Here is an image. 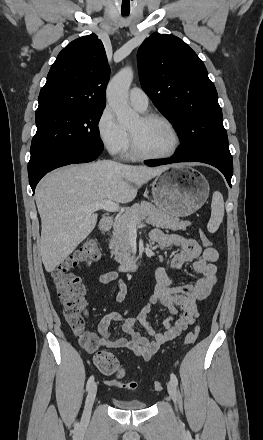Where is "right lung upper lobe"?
Listing matches in <instances>:
<instances>
[{
    "instance_id": "right-lung-upper-lobe-1",
    "label": "right lung upper lobe",
    "mask_w": 263,
    "mask_h": 440,
    "mask_svg": "<svg viewBox=\"0 0 263 440\" xmlns=\"http://www.w3.org/2000/svg\"><path fill=\"white\" fill-rule=\"evenodd\" d=\"M109 67L101 40L95 34L80 37L57 56L41 89L37 110L104 107Z\"/></svg>"
}]
</instances>
